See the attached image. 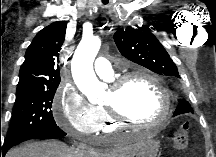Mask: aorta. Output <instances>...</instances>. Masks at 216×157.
<instances>
[{
    "instance_id": "1",
    "label": "aorta",
    "mask_w": 216,
    "mask_h": 157,
    "mask_svg": "<svg viewBox=\"0 0 216 157\" xmlns=\"http://www.w3.org/2000/svg\"><path fill=\"white\" fill-rule=\"evenodd\" d=\"M100 46L98 37L82 39L71 62L74 82L91 103H98L105 95V85L97 79L93 70V62Z\"/></svg>"
}]
</instances>
